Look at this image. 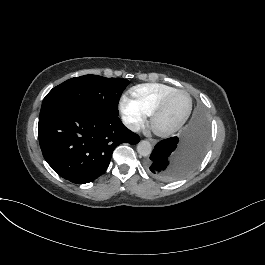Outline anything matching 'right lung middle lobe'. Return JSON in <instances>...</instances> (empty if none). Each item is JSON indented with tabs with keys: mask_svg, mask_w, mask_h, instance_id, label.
Wrapping results in <instances>:
<instances>
[{
	"mask_svg": "<svg viewBox=\"0 0 265 265\" xmlns=\"http://www.w3.org/2000/svg\"><path fill=\"white\" fill-rule=\"evenodd\" d=\"M129 81L84 75L53 88L44 98L40 115L65 106L77 107L103 117H118V102Z\"/></svg>",
	"mask_w": 265,
	"mask_h": 265,
	"instance_id": "obj_1",
	"label": "right lung middle lobe"
}]
</instances>
